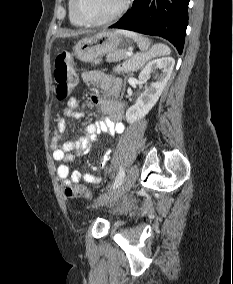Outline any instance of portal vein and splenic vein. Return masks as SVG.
<instances>
[{
	"instance_id": "1",
	"label": "portal vein and splenic vein",
	"mask_w": 233,
	"mask_h": 284,
	"mask_svg": "<svg viewBox=\"0 0 233 284\" xmlns=\"http://www.w3.org/2000/svg\"><path fill=\"white\" fill-rule=\"evenodd\" d=\"M127 55L132 56L133 55L132 51L127 52Z\"/></svg>"
}]
</instances>
